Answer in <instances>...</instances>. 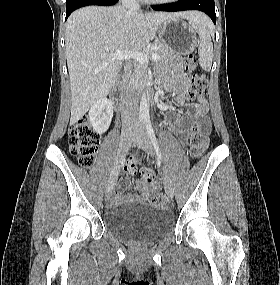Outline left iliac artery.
I'll return each mask as SVG.
<instances>
[{
    "label": "left iliac artery",
    "instance_id": "1",
    "mask_svg": "<svg viewBox=\"0 0 280 285\" xmlns=\"http://www.w3.org/2000/svg\"><path fill=\"white\" fill-rule=\"evenodd\" d=\"M144 122H145V125H146V128H147V132L149 134V137L152 141V144L157 152V156H158V160L161 162L162 161V155H161V152H160V149H159V145H158V141L156 139V136H155V133H154V130L152 128V125H151V121H150V118L147 116L144 118Z\"/></svg>",
    "mask_w": 280,
    "mask_h": 285
}]
</instances>
